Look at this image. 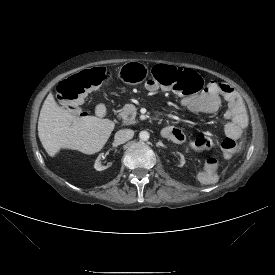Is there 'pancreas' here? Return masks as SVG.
Instances as JSON below:
<instances>
[{
	"instance_id": "1",
	"label": "pancreas",
	"mask_w": 275,
	"mask_h": 275,
	"mask_svg": "<svg viewBox=\"0 0 275 275\" xmlns=\"http://www.w3.org/2000/svg\"><path fill=\"white\" fill-rule=\"evenodd\" d=\"M137 108L133 104H126L123 108L118 111V117L122 118L123 124L130 125L135 124Z\"/></svg>"
}]
</instances>
